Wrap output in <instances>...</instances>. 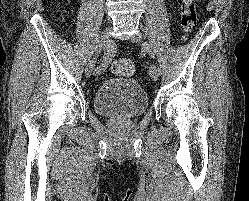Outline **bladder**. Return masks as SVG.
Returning a JSON list of instances; mask_svg holds the SVG:
<instances>
[{"mask_svg": "<svg viewBox=\"0 0 249 201\" xmlns=\"http://www.w3.org/2000/svg\"><path fill=\"white\" fill-rule=\"evenodd\" d=\"M94 110L102 116L134 118L148 107L143 87L133 78H113L102 82L93 98Z\"/></svg>", "mask_w": 249, "mask_h": 201, "instance_id": "31cf9c89", "label": "bladder"}]
</instances>
